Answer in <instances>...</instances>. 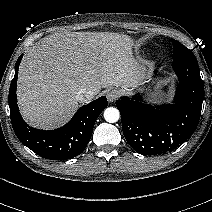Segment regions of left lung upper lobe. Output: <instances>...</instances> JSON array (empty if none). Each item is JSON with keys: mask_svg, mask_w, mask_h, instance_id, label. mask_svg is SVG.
<instances>
[{"mask_svg": "<svg viewBox=\"0 0 212 212\" xmlns=\"http://www.w3.org/2000/svg\"><path fill=\"white\" fill-rule=\"evenodd\" d=\"M173 43V60L174 61H197L194 54L186 48L184 45H182L180 42L172 39Z\"/></svg>", "mask_w": 212, "mask_h": 212, "instance_id": "obj_1", "label": "left lung upper lobe"}]
</instances>
